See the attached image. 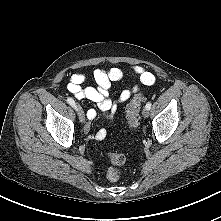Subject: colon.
Segmentation results:
<instances>
[{
	"mask_svg": "<svg viewBox=\"0 0 221 221\" xmlns=\"http://www.w3.org/2000/svg\"><path fill=\"white\" fill-rule=\"evenodd\" d=\"M145 100L143 94L136 95L126 106V122L131 130H135L140 122V109ZM110 167L107 170V178L116 181L121 174V166L125 163V156L119 153L106 154Z\"/></svg>",
	"mask_w": 221,
	"mask_h": 221,
	"instance_id": "1",
	"label": "colon"
}]
</instances>
